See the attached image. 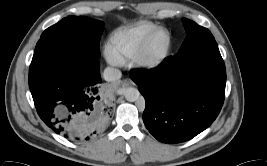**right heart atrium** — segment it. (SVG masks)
I'll return each instance as SVG.
<instances>
[{
	"label": "right heart atrium",
	"mask_w": 267,
	"mask_h": 166,
	"mask_svg": "<svg viewBox=\"0 0 267 166\" xmlns=\"http://www.w3.org/2000/svg\"><path fill=\"white\" fill-rule=\"evenodd\" d=\"M105 56L107 60L111 63H118L120 61V58L117 56V54L113 51L112 48L106 47L105 49Z\"/></svg>",
	"instance_id": "d8ad5b80"
}]
</instances>
